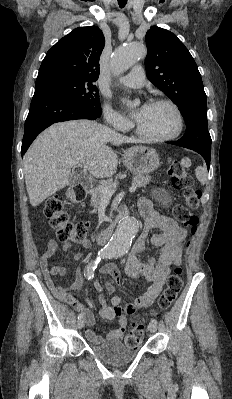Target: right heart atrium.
<instances>
[{
    "instance_id": "right-heart-atrium-1",
    "label": "right heart atrium",
    "mask_w": 232,
    "mask_h": 399,
    "mask_svg": "<svg viewBox=\"0 0 232 399\" xmlns=\"http://www.w3.org/2000/svg\"><path fill=\"white\" fill-rule=\"evenodd\" d=\"M103 115L106 122L113 123V128L122 130L123 128L129 127V123L124 119V117L120 113L108 107L103 108Z\"/></svg>"
}]
</instances>
